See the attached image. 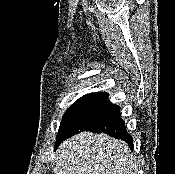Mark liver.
I'll list each match as a JSON object with an SVG mask.
<instances>
[{"instance_id": "liver-1", "label": "liver", "mask_w": 175, "mask_h": 174, "mask_svg": "<svg viewBox=\"0 0 175 174\" xmlns=\"http://www.w3.org/2000/svg\"><path fill=\"white\" fill-rule=\"evenodd\" d=\"M56 174H137L129 146L107 134L82 132L63 142L55 155Z\"/></svg>"}]
</instances>
